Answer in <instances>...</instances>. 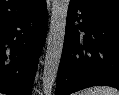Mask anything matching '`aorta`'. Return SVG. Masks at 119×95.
I'll use <instances>...</instances> for the list:
<instances>
[{"instance_id": "762f6f07", "label": "aorta", "mask_w": 119, "mask_h": 95, "mask_svg": "<svg viewBox=\"0 0 119 95\" xmlns=\"http://www.w3.org/2000/svg\"><path fill=\"white\" fill-rule=\"evenodd\" d=\"M70 0H52V16L43 70V93L50 95L54 86L64 44Z\"/></svg>"}]
</instances>
